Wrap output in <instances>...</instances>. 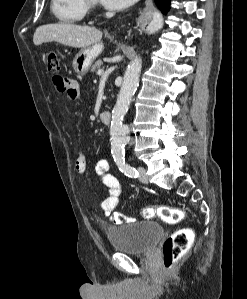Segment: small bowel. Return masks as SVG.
I'll return each mask as SVG.
<instances>
[{
	"label": "small bowel",
	"instance_id": "1",
	"mask_svg": "<svg viewBox=\"0 0 247 299\" xmlns=\"http://www.w3.org/2000/svg\"><path fill=\"white\" fill-rule=\"evenodd\" d=\"M55 88L67 97L76 101L79 96V85L76 81L67 77L55 75L53 77ZM75 169L79 174H83L87 170V160L84 154H79L75 161ZM96 172L101 181L108 188L107 197L101 202L103 212L110 216L111 221L117 224H122L124 219L121 216L112 215L119 203V198L122 193V186L118 178L110 171V164L106 159H100L96 164ZM133 221L134 219H130Z\"/></svg>",
	"mask_w": 247,
	"mask_h": 299
}]
</instances>
